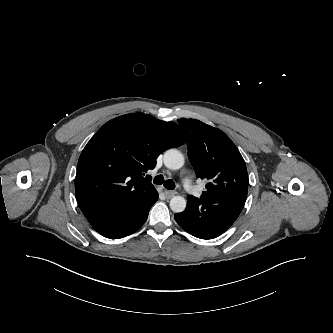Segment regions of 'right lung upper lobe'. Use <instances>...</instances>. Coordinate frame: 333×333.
Masks as SVG:
<instances>
[{
	"label": "right lung upper lobe",
	"mask_w": 333,
	"mask_h": 333,
	"mask_svg": "<svg viewBox=\"0 0 333 333\" xmlns=\"http://www.w3.org/2000/svg\"><path fill=\"white\" fill-rule=\"evenodd\" d=\"M186 142L184 131L144 113L104 124L83 149L75 177L77 202L86 216L138 207L157 191L145 176L156 158Z\"/></svg>",
	"instance_id": "right-lung-upper-lobe-1"
}]
</instances>
